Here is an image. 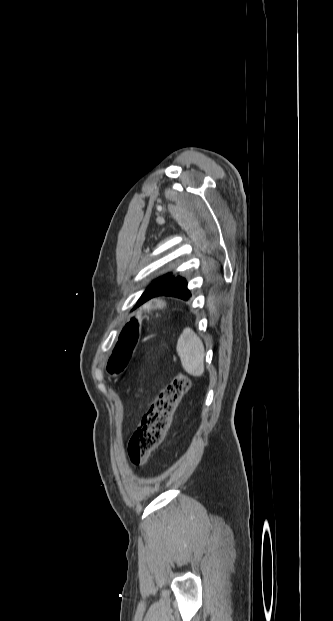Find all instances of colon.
<instances>
[{"label": "colon", "mask_w": 333, "mask_h": 621, "mask_svg": "<svg viewBox=\"0 0 333 621\" xmlns=\"http://www.w3.org/2000/svg\"><path fill=\"white\" fill-rule=\"evenodd\" d=\"M189 388V378L178 373L143 415L128 443V456L134 466L146 464L151 453L160 445L177 406Z\"/></svg>", "instance_id": "colon-1"}]
</instances>
